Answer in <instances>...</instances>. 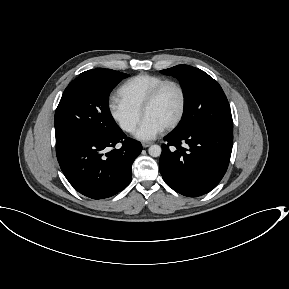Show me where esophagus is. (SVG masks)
Returning <instances> with one entry per match:
<instances>
[{
    "instance_id": "obj_1",
    "label": "esophagus",
    "mask_w": 289,
    "mask_h": 289,
    "mask_svg": "<svg viewBox=\"0 0 289 289\" xmlns=\"http://www.w3.org/2000/svg\"><path fill=\"white\" fill-rule=\"evenodd\" d=\"M151 145H152L151 142H143V143H142V146H143L144 148H147V147H149V146H151Z\"/></svg>"
}]
</instances>
